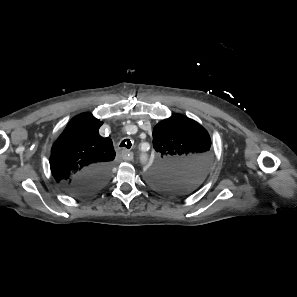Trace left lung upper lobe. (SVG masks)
Here are the masks:
<instances>
[{
  "instance_id": "1",
  "label": "left lung upper lobe",
  "mask_w": 297,
  "mask_h": 297,
  "mask_svg": "<svg viewBox=\"0 0 297 297\" xmlns=\"http://www.w3.org/2000/svg\"><path fill=\"white\" fill-rule=\"evenodd\" d=\"M156 167L149 183L171 196L195 190L206 178L211 165V140L196 121L176 114L153 129Z\"/></svg>"
}]
</instances>
